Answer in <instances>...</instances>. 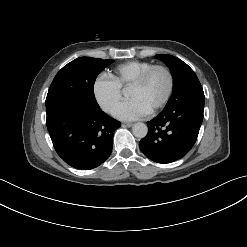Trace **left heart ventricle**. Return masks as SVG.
I'll use <instances>...</instances> for the list:
<instances>
[{
	"mask_svg": "<svg viewBox=\"0 0 247 247\" xmlns=\"http://www.w3.org/2000/svg\"><path fill=\"white\" fill-rule=\"evenodd\" d=\"M168 77L162 70L154 71L146 83L140 87H130V99L140 100L149 110L156 106L166 94Z\"/></svg>",
	"mask_w": 247,
	"mask_h": 247,
	"instance_id": "obj_1",
	"label": "left heart ventricle"
}]
</instances>
